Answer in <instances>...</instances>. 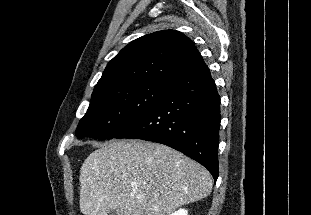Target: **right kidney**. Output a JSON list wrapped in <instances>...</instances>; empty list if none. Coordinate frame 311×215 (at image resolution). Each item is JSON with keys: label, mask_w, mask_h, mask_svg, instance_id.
Wrapping results in <instances>:
<instances>
[{"label": "right kidney", "mask_w": 311, "mask_h": 215, "mask_svg": "<svg viewBox=\"0 0 311 215\" xmlns=\"http://www.w3.org/2000/svg\"><path fill=\"white\" fill-rule=\"evenodd\" d=\"M171 215H188V211L185 209H179L178 211L172 213Z\"/></svg>", "instance_id": "right-kidney-1"}]
</instances>
